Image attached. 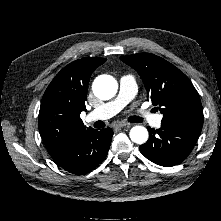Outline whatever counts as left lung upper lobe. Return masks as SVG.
Segmentation results:
<instances>
[{"label":"left lung upper lobe","mask_w":221,"mask_h":221,"mask_svg":"<svg viewBox=\"0 0 221 221\" xmlns=\"http://www.w3.org/2000/svg\"><path fill=\"white\" fill-rule=\"evenodd\" d=\"M143 80L152 104L163 114L162 123L203 126L199 94L188 77L174 65L150 53L122 56Z\"/></svg>","instance_id":"left-lung-upper-lobe-1"}]
</instances>
